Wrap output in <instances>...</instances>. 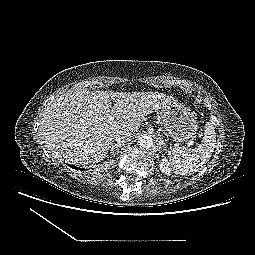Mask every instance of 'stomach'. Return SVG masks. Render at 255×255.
<instances>
[{
	"instance_id": "0dacf381",
	"label": "stomach",
	"mask_w": 255,
	"mask_h": 255,
	"mask_svg": "<svg viewBox=\"0 0 255 255\" xmlns=\"http://www.w3.org/2000/svg\"><path fill=\"white\" fill-rule=\"evenodd\" d=\"M168 135L177 141H187L196 135L198 123L195 112L177 101L169 102L159 111Z\"/></svg>"
}]
</instances>
